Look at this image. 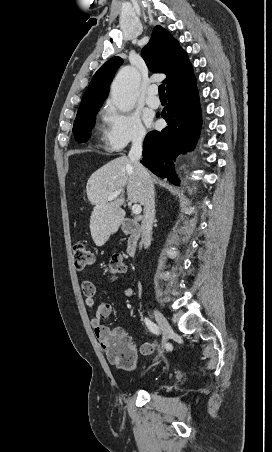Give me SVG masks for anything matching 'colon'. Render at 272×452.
Wrapping results in <instances>:
<instances>
[{
  "mask_svg": "<svg viewBox=\"0 0 272 452\" xmlns=\"http://www.w3.org/2000/svg\"><path fill=\"white\" fill-rule=\"evenodd\" d=\"M73 260L76 269H83L93 264L94 254L84 241H77L73 245ZM106 270L111 275L125 272L126 266L121 255H114ZM109 362L123 370H133L137 364L136 353L127 336H111L106 342Z\"/></svg>",
  "mask_w": 272,
  "mask_h": 452,
  "instance_id": "1",
  "label": "colon"
}]
</instances>
